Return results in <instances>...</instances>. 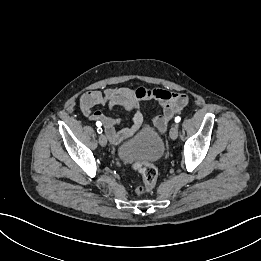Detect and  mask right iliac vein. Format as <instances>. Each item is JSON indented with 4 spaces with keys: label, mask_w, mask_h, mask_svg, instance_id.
<instances>
[{
    "label": "right iliac vein",
    "mask_w": 261,
    "mask_h": 261,
    "mask_svg": "<svg viewBox=\"0 0 261 261\" xmlns=\"http://www.w3.org/2000/svg\"><path fill=\"white\" fill-rule=\"evenodd\" d=\"M99 143L101 146L105 147L107 145V138L104 134L99 136Z\"/></svg>",
    "instance_id": "obj_1"
}]
</instances>
